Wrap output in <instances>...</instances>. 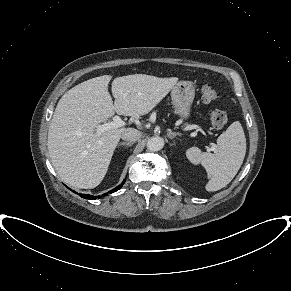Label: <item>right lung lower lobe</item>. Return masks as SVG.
Here are the masks:
<instances>
[{
	"instance_id": "98d812e1",
	"label": "right lung lower lobe",
	"mask_w": 291,
	"mask_h": 291,
	"mask_svg": "<svg viewBox=\"0 0 291 291\" xmlns=\"http://www.w3.org/2000/svg\"><path fill=\"white\" fill-rule=\"evenodd\" d=\"M125 181L126 180H124L121 185H119L116 188H114L111 191H109V193L116 192L117 190H119L123 186V184L125 183ZM107 194H103V196H107ZM80 196L83 197V198H85V199H96V198H100L99 196H95L94 197L93 195H89V194H80Z\"/></svg>"
}]
</instances>
